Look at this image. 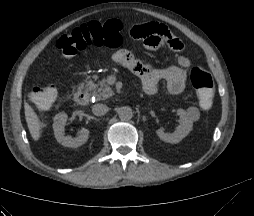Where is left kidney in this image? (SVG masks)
<instances>
[{
  "instance_id": "left-kidney-1",
  "label": "left kidney",
  "mask_w": 254,
  "mask_h": 216,
  "mask_svg": "<svg viewBox=\"0 0 254 216\" xmlns=\"http://www.w3.org/2000/svg\"><path fill=\"white\" fill-rule=\"evenodd\" d=\"M177 115L180 117V124L173 133H165L162 129L156 131L157 136L166 143L176 144L185 138L193 128V121L188 117L185 110L177 109Z\"/></svg>"
}]
</instances>
